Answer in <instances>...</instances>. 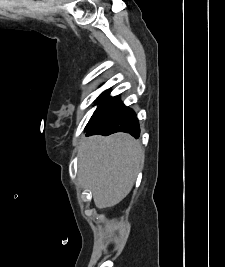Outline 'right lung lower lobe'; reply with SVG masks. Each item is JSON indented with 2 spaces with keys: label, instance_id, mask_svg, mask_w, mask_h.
I'll return each instance as SVG.
<instances>
[{
  "label": "right lung lower lobe",
  "instance_id": "obj_1",
  "mask_svg": "<svg viewBox=\"0 0 225 267\" xmlns=\"http://www.w3.org/2000/svg\"><path fill=\"white\" fill-rule=\"evenodd\" d=\"M111 90L104 91L96 101L100 103L89 120L86 135H110L115 132H126L139 138L140 127L135 112L124 105L119 96L111 97Z\"/></svg>",
  "mask_w": 225,
  "mask_h": 267
}]
</instances>
